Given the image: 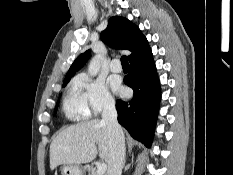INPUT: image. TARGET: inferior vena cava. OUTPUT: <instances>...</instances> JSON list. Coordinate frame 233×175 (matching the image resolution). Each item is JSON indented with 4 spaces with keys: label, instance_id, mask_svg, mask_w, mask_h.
Wrapping results in <instances>:
<instances>
[{
    "label": "inferior vena cava",
    "instance_id": "602c4592",
    "mask_svg": "<svg viewBox=\"0 0 233 175\" xmlns=\"http://www.w3.org/2000/svg\"><path fill=\"white\" fill-rule=\"evenodd\" d=\"M101 122L108 126L112 142L107 175H121L125 156V139L122 128L117 121V111L113 99H108L104 103Z\"/></svg>",
    "mask_w": 233,
    "mask_h": 175
}]
</instances>
